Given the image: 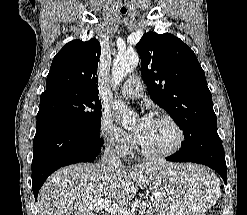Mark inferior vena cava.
Returning <instances> with one entry per match:
<instances>
[{
  "instance_id": "1",
  "label": "inferior vena cava",
  "mask_w": 247,
  "mask_h": 215,
  "mask_svg": "<svg viewBox=\"0 0 247 215\" xmlns=\"http://www.w3.org/2000/svg\"><path fill=\"white\" fill-rule=\"evenodd\" d=\"M102 167L106 169H113L122 166L120 158L116 155L115 149L110 145H108L104 150V155L101 159Z\"/></svg>"
}]
</instances>
